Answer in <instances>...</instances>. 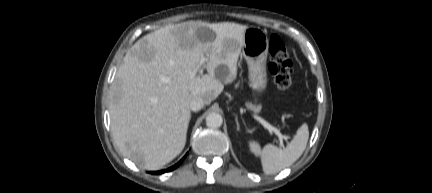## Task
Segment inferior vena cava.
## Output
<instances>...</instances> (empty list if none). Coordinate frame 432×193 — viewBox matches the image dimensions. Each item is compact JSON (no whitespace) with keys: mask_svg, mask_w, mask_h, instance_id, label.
<instances>
[{"mask_svg":"<svg viewBox=\"0 0 432 193\" xmlns=\"http://www.w3.org/2000/svg\"><path fill=\"white\" fill-rule=\"evenodd\" d=\"M204 100L201 96H194L190 102V109L192 111H199L204 106Z\"/></svg>","mask_w":432,"mask_h":193,"instance_id":"602c4592","label":"inferior vena cava"}]
</instances>
